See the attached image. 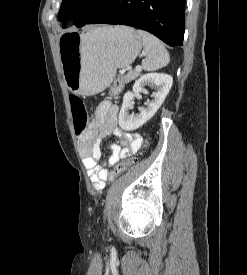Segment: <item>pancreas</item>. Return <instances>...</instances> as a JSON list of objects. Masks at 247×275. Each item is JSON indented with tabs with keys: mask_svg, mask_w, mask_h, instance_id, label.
<instances>
[{
	"mask_svg": "<svg viewBox=\"0 0 247 275\" xmlns=\"http://www.w3.org/2000/svg\"><path fill=\"white\" fill-rule=\"evenodd\" d=\"M140 75V71L131 70L124 76L125 83H129L132 80H135Z\"/></svg>",
	"mask_w": 247,
	"mask_h": 275,
	"instance_id": "1",
	"label": "pancreas"
}]
</instances>
